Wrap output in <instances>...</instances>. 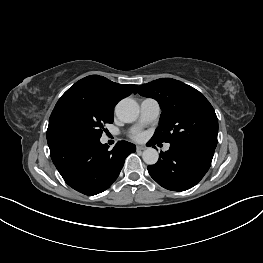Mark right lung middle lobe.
I'll list each match as a JSON object with an SVG mask.
<instances>
[{
  "mask_svg": "<svg viewBox=\"0 0 263 263\" xmlns=\"http://www.w3.org/2000/svg\"><path fill=\"white\" fill-rule=\"evenodd\" d=\"M113 113L98 104L69 96L58 101L49 119L48 145L74 140H98Z\"/></svg>",
  "mask_w": 263,
  "mask_h": 263,
  "instance_id": "dd1d6c3e",
  "label": "right lung middle lobe"
}]
</instances>
